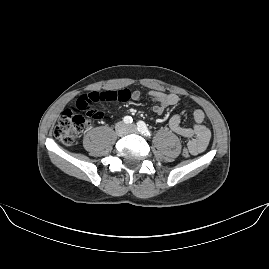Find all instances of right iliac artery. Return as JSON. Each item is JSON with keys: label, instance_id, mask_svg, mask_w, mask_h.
Returning <instances> with one entry per match:
<instances>
[{"label": "right iliac artery", "instance_id": "1", "mask_svg": "<svg viewBox=\"0 0 269 269\" xmlns=\"http://www.w3.org/2000/svg\"><path fill=\"white\" fill-rule=\"evenodd\" d=\"M123 121L126 123V124H129V123H132L133 119L131 116H125Z\"/></svg>", "mask_w": 269, "mask_h": 269}]
</instances>
